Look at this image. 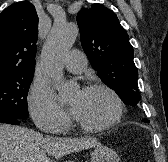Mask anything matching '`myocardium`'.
Returning a JSON list of instances; mask_svg holds the SVG:
<instances>
[{
    "instance_id": "myocardium-1",
    "label": "myocardium",
    "mask_w": 168,
    "mask_h": 162,
    "mask_svg": "<svg viewBox=\"0 0 168 162\" xmlns=\"http://www.w3.org/2000/svg\"><path fill=\"white\" fill-rule=\"evenodd\" d=\"M104 91L106 92L114 102L115 111L113 116L105 123L100 125H90L82 122L74 115V120L76 124L83 130L88 132H103L112 127H114L121 119L123 115V102L117 92L111 88L110 86L102 83H96L89 85L83 89L84 92H91V91Z\"/></svg>"
}]
</instances>
